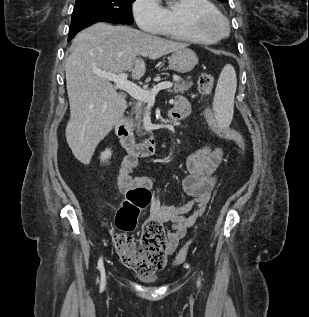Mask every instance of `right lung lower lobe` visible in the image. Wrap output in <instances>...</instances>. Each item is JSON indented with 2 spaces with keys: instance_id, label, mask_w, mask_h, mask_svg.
<instances>
[{
  "instance_id": "1",
  "label": "right lung lower lobe",
  "mask_w": 309,
  "mask_h": 317,
  "mask_svg": "<svg viewBox=\"0 0 309 317\" xmlns=\"http://www.w3.org/2000/svg\"><path fill=\"white\" fill-rule=\"evenodd\" d=\"M97 22L116 23V22L111 21V20L99 19V18H89V19H82V20L75 21V22L71 23V26L69 29L68 42H70L72 40V38H74L75 35L79 31H81L82 29L87 28V27H89L92 24L97 23Z\"/></svg>"
}]
</instances>
